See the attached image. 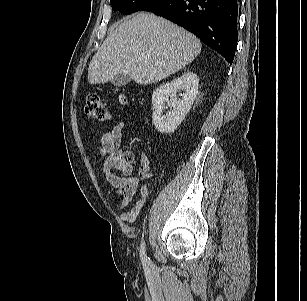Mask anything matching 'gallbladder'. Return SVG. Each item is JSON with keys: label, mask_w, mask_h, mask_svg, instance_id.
Listing matches in <instances>:
<instances>
[{"label": "gallbladder", "mask_w": 307, "mask_h": 301, "mask_svg": "<svg viewBox=\"0 0 307 301\" xmlns=\"http://www.w3.org/2000/svg\"><path fill=\"white\" fill-rule=\"evenodd\" d=\"M130 81H131V78L128 75L122 74V73L115 75L111 79V83L117 87L124 86L128 84Z\"/></svg>", "instance_id": "obj_1"}]
</instances>
